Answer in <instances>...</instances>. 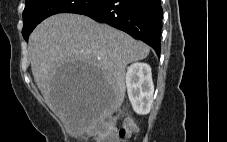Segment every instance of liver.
I'll use <instances>...</instances> for the list:
<instances>
[{"label":"liver","instance_id":"liver-1","mask_svg":"<svg viewBox=\"0 0 227 142\" xmlns=\"http://www.w3.org/2000/svg\"><path fill=\"white\" fill-rule=\"evenodd\" d=\"M150 48L141 41L106 24L79 14H56L41 22L29 40L31 70L47 105L70 132H91L111 115L125 98L128 64L145 59ZM62 61H91L101 78L94 88H61L53 81Z\"/></svg>","mask_w":227,"mask_h":142}]
</instances>
